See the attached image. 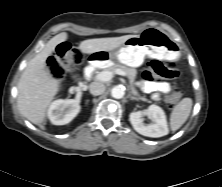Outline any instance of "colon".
I'll list each match as a JSON object with an SVG mask.
<instances>
[{
  "label": "colon",
  "instance_id": "5ec220e1",
  "mask_svg": "<svg viewBox=\"0 0 222 187\" xmlns=\"http://www.w3.org/2000/svg\"><path fill=\"white\" fill-rule=\"evenodd\" d=\"M82 53L71 45L63 43L59 45L56 51L47 60V69L54 79H62L67 70L74 68L82 62ZM177 76V71L166 63L153 60L144 71L143 77L147 81L166 78L171 79ZM182 97L179 89H173L166 97V102L172 106Z\"/></svg>",
  "mask_w": 222,
  "mask_h": 187
}]
</instances>
